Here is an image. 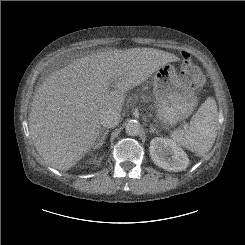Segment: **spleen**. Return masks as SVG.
Masks as SVG:
<instances>
[{"mask_svg": "<svg viewBox=\"0 0 245 245\" xmlns=\"http://www.w3.org/2000/svg\"><path fill=\"white\" fill-rule=\"evenodd\" d=\"M218 129V108L216 101L209 97L192 116L189 129H176L170 137L198 156L205 155L213 146Z\"/></svg>", "mask_w": 245, "mask_h": 245, "instance_id": "1", "label": "spleen"}]
</instances>
